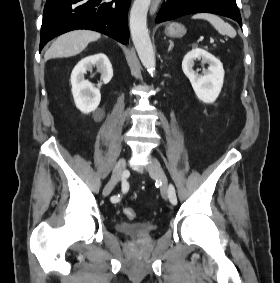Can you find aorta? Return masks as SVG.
Segmentation results:
<instances>
[{
  "label": "aorta",
  "mask_w": 280,
  "mask_h": 283,
  "mask_svg": "<svg viewBox=\"0 0 280 283\" xmlns=\"http://www.w3.org/2000/svg\"><path fill=\"white\" fill-rule=\"evenodd\" d=\"M151 0H135L130 11V32L138 56L153 76L155 73V56L147 29V13Z\"/></svg>",
  "instance_id": "1"
}]
</instances>
